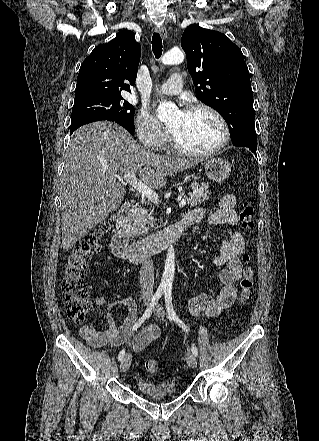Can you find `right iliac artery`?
<instances>
[{"instance_id":"1","label":"right iliac artery","mask_w":319,"mask_h":441,"mask_svg":"<svg viewBox=\"0 0 319 441\" xmlns=\"http://www.w3.org/2000/svg\"><path fill=\"white\" fill-rule=\"evenodd\" d=\"M163 294V290L162 289H158L156 291V293L154 294L149 306L147 307V309L145 310L144 314L142 315V317L134 324L133 326V331L137 330V328H139L146 319H148L151 316L152 310L155 307V305L157 304V302L159 301L160 297ZM125 355V350L122 349L118 355V360L121 361L124 358Z\"/></svg>"}]
</instances>
